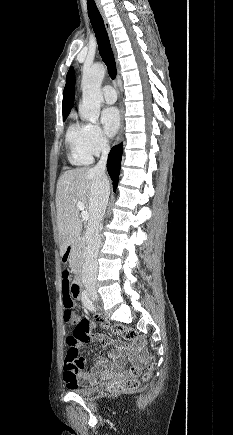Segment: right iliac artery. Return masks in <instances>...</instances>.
I'll return each instance as SVG.
<instances>
[{"instance_id": "1", "label": "right iliac artery", "mask_w": 233, "mask_h": 435, "mask_svg": "<svg viewBox=\"0 0 233 435\" xmlns=\"http://www.w3.org/2000/svg\"><path fill=\"white\" fill-rule=\"evenodd\" d=\"M82 302L87 309H89L90 311H95V306L92 300L90 299L87 291L85 290L83 292Z\"/></svg>"}]
</instances>
